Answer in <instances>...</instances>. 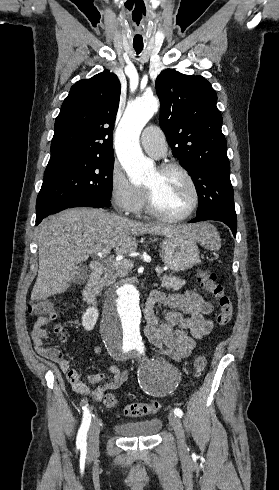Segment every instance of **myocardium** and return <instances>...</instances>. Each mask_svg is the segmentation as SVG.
<instances>
[{
    "label": "myocardium",
    "instance_id": "obj_1",
    "mask_svg": "<svg viewBox=\"0 0 279 490\" xmlns=\"http://www.w3.org/2000/svg\"><path fill=\"white\" fill-rule=\"evenodd\" d=\"M160 172H178L181 175L185 177L187 182L189 183L192 193H193V199L190 204V206L181 214L178 215H169L164 212H162L156 205L153 194H152V189L150 187H147V207L148 211L151 215L154 217L162 220V221H167V222H179L183 221L186 218H188L190 215H192L195 210L197 209L199 202H200V192L199 188L197 186L196 181L194 180L193 176L191 173L182 165L178 163H166L162 165L159 169Z\"/></svg>",
    "mask_w": 279,
    "mask_h": 490
}]
</instances>
